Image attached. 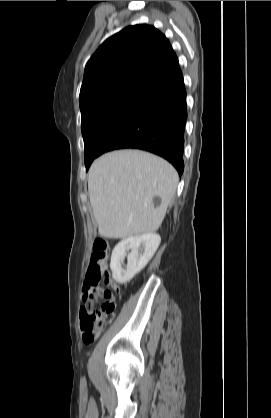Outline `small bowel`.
<instances>
[{"instance_id":"1","label":"small bowel","mask_w":271,"mask_h":418,"mask_svg":"<svg viewBox=\"0 0 271 418\" xmlns=\"http://www.w3.org/2000/svg\"><path fill=\"white\" fill-rule=\"evenodd\" d=\"M108 284L112 287V288H114V289H116V290H118V287H117V285L113 282V281H109L108 282ZM89 289V285H88V283H87V281H85V283H84V285H83V293H85V291L86 290H88Z\"/></svg>"}]
</instances>
